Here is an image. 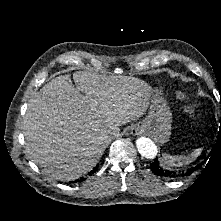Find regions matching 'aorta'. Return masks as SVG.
Wrapping results in <instances>:
<instances>
[{"instance_id":"1","label":"aorta","mask_w":221,"mask_h":221,"mask_svg":"<svg viewBox=\"0 0 221 221\" xmlns=\"http://www.w3.org/2000/svg\"><path fill=\"white\" fill-rule=\"evenodd\" d=\"M138 152L145 158L154 159L158 153L155 143L146 137H140L136 140Z\"/></svg>"}]
</instances>
